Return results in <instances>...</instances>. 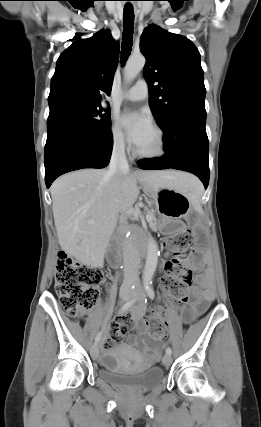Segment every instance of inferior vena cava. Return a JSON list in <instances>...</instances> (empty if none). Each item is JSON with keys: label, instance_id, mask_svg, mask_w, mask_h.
<instances>
[{"label": "inferior vena cava", "instance_id": "inferior-vena-cava-1", "mask_svg": "<svg viewBox=\"0 0 261 427\" xmlns=\"http://www.w3.org/2000/svg\"><path fill=\"white\" fill-rule=\"evenodd\" d=\"M129 172V164L125 154L124 142L115 143L113 146L112 157L109 164L108 176H122ZM119 230L125 234L128 230L127 222L120 220ZM123 259H124V281L126 285L139 283L140 254L132 237L124 238L123 241Z\"/></svg>", "mask_w": 261, "mask_h": 427}]
</instances>
